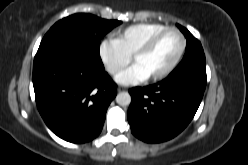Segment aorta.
Here are the masks:
<instances>
[{"label": "aorta", "instance_id": "762f6f07", "mask_svg": "<svg viewBox=\"0 0 248 165\" xmlns=\"http://www.w3.org/2000/svg\"><path fill=\"white\" fill-rule=\"evenodd\" d=\"M116 102L120 106H128L131 103V96L128 92H120L116 96Z\"/></svg>", "mask_w": 248, "mask_h": 165}]
</instances>
